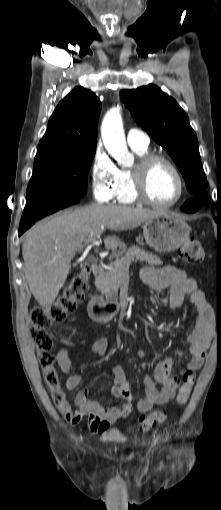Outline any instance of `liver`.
<instances>
[{
    "mask_svg": "<svg viewBox=\"0 0 221 510\" xmlns=\"http://www.w3.org/2000/svg\"><path fill=\"white\" fill-rule=\"evenodd\" d=\"M163 212L120 205L92 204L66 210L36 223L24 235L22 255L30 291L42 307H49L64 286L70 262L92 233L107 227L114 231L134 229ZM106 248L120 244L116 236L104 239Z\"/></svg>",
    "mask_w": 221,
    "mask_h": 510,
    "instance_id": "obj_1",
    "label": "liver"
}]
</instances>
